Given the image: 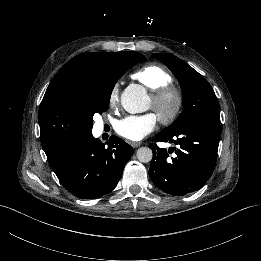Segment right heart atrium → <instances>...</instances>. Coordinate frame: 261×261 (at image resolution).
Instances as JSON below:
<instances>
[{"label": "right heart atrium", "mask_w": 261, "mask_h": 261, "mask_svg": "<svg viewBox=\"0 0 261 261\" xmlns=\"http://www.w3.org/2000/svg\"><path fill=\"white\" fill-rule=\"evenodd\" d=\"M119 102L118 88L113 87L108 98V104L110 107H114Z\"/></svg>", "instance_id": "right-heart-atrium-1"}]
</instances>
